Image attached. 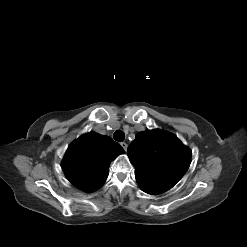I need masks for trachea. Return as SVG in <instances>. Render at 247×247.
<instances>
[{
	"mask_svg": "<svg viewBox=\"0 0 247 247\" xmlns=\"http://www.w3.org/2000/svg\"><path fill=\"white\" fill-rule=\"evenodd\" d=\"M114 139L118 142H122L125 139V134L123 131L121 130H117L114 135H113Z\"/></svg>",
	"mask_w": 247,
	"mask_h": 247,
	"instance_id": "1",
	"label": "trachea"
}]
</instances>
